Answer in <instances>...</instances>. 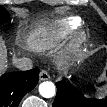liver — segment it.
<instances>
[{"instance_id":"liver-1","label":"liver","mask_w":107,"mask_h":107,"mask_svg":"<svg viewBox=\"0 0 107 107\" xmlns=\"http://www.w3.org/2000/svg\"><path fill=\"white\" fill-rule=\"evenodd\" d=\"M6 55H7L6 50L3 47H1V49H0V70H1V73H3L6 68V62H7Z\"/></svg>"}]
</instances>
